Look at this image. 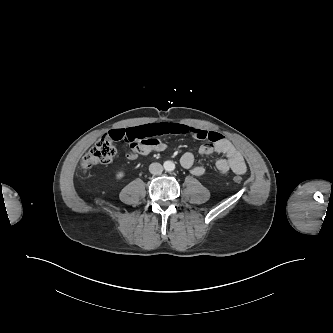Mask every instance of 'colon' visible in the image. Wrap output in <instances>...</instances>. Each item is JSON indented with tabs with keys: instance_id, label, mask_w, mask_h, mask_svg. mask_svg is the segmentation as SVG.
I'll use <instances>...</instances> for the list:
<instances>
[{
	"instance_id": "obj_1",
	"label": "colon",
	"mask_w": 333,
	"mask_h": 333,
	"mask_svg": "<svg viewBox=\"0 0 333 333\" xmlns=\"http://www.w3.org/2000/svg\"><path fill=\"white\" fill-rule=\"evenodd\" d=\"M111 141L112 140L107 137L98 140L83 157L81 169L86 171L94 165L111 162L115 155V148ZM234 180L236 183L242 181L239 176H236Z\"/></svg>"
}]
</instances>
